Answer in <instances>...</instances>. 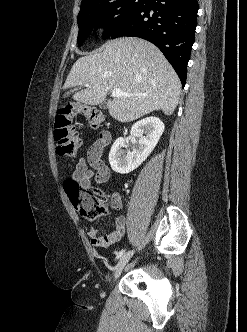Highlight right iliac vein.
Masks as SVG:
<instances>
[{
  "instance_id": "obj_1",
  "label": "right iliac vein",
  "mask_w": 247,
  "mask_h": 332,
  "mask_svg": "<svg viewBox=\"0 0 247 332\" xmlns=\"http://www.w3.org/2000/svg\"><path fill=\"white\" fill-rule=\"evenodd\" d=\"M133 253H134L133 251H128L127 253L121 256L115 268L114 277H113L114 281H116L120 277L122 270L133 256Z\"/></svg>"
}]
</instances>
